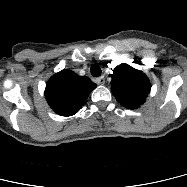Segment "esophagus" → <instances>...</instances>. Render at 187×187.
Listing matches in <instances>:
<instances>
[{
  "label": "esophagus",
  "instance_id": "esophagus-1",
  "mask_svg": "<svg viewBox=\"0 0 187 187\" xmlns=\"http://www.w3.org/2000/svg\"><path fill=\"white\" fill-rule=\"evenodd\" d=\"M95 82H96L98 85H104V83H105V78H104L103 76H101V77L97 78V79L95 80Z\"/></svg>",
  "mask_w": 187,
  "mask_h": 187
}]
</instances>
